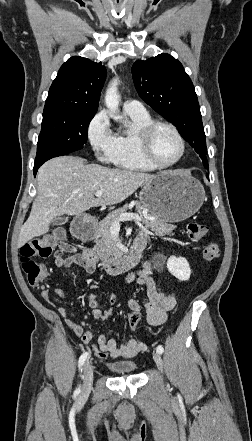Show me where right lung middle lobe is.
I'll use <instances>...</instances> for the list:
<instances>
[{"label": "right lung middle lobe", "mask_w": 252, "mask_h": 441, "mask_svg": "<svg viewBox=\"0 0 252 441\" xmlns=\"http://www.w3.org/2000/svg\"><path fill=\"white\" fill-rule=\"evenodd\" d=\"M94 115L93 112L44 110L35 164L82 149Z\"/></svg>", "instance_id": "obj_1"}]
</instances>
